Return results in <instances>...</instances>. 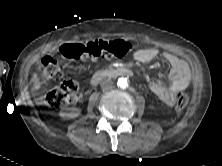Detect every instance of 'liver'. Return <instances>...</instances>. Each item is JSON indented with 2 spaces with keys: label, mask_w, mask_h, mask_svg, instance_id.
<instances>
[{
  "label": "liver",
  "mask_w": 222,
  "mask_h": 166,
  "mask_svg": "<svg viewBox=\"0 0 222 166\" xmlns=\"http://www.w3.org/2000/svg\"><path fill=\"white\" fill-rule=\"evenodd\" d=\"M32 79H33V81H34V89H35V90L40 89V87H41V82L39 81V78H38V76H37L36 73H34Z\"/></svg>",
  "instance_id": "liver-1"
}]
</instances>
